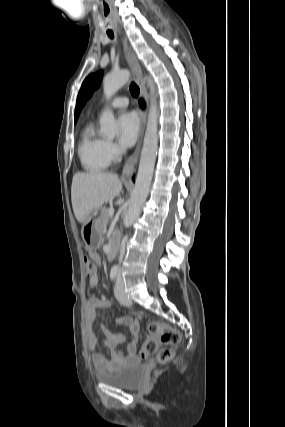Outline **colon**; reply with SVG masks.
<instances>
[{"instance_id":"1","label":"colon","mask_w":285,"mask_h":427,"mask_svg":"<svg viewBox=\"0 0 285 427\" xmlns=\"http://www.w3.org/2000/svg\"><path fill=\"white\" fill-rule=\"evenodd\" d=\"M85 276L87 279L96 277L97 265L91 258H84ZM148 337L143 341L140 355L146 358L156 353L159 363L169 362L174 356V348L179 345L180 333L171 326L161 322L152 321L147 325ZM159 344L167 347L159 348Z\"/></svg>"}]
</instances>
